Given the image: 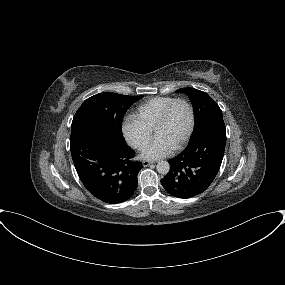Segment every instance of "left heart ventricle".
I'll use <instances>...</instances> for the list:
<instances>
[{"mask_svg": "<svg viewBox=\"0 0 285 285\" xmlns=\"http://www.w3.org/2000/svg\"><path fill=\"white\" fill-rule=\"evenodd\" d=\"M190 123L189 110L183 103H177L171 110L166 122L157 129L155 136L168 141L173 147L185 137Z\"/></svg>", "mask_w": 285, "mask_h": 285, "instance_id": "1", "label": "left heart ventricle"}]
</instances>
